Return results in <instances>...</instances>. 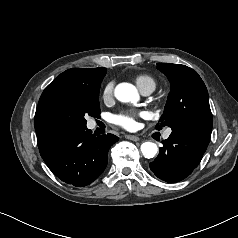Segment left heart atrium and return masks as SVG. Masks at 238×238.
Returning a JSON list of instances; mask_svg holds the SVG:
<instances>
[{
  "instance_id": "obj_1",
  "label": "left heart atrium",
  "mask_w": 238,
  "mask_h": 238,
  "mask_svg": "<svg viewBox=\"0 0 238 238\" xmlns=\"http://www.w3.org/2000/svg\"><path fill=\"white\" fill-rule=\"evenodd\" d=\"M144 115V113H140ZM137 114L134 112L121 113L114 118V122L127 130H134L137 127L136 121Z\"/></svg>"
}]
</instances>
